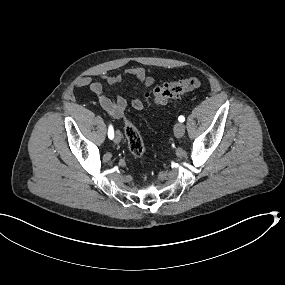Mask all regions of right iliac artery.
Listing matches in <instances>:
<instances>
[{"label": "right iliac artery", "instance_id": "82829eb1", "mask_svg": "<svg viewBox=\"0 0 285 285\" xmlns=\"http://www.w3.org/2000/svg\"><path fill=\"white\" fill-rule=\"evenodd\" d=\"M108 137L110 139H113V137H114V130H113V127L111 125L109 126V129H108Z\"/></svg>", "mask_w": 285, "mask_h": 285}]
</instances>
